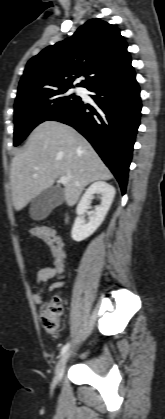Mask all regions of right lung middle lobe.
Listing matches in <instances>:
<instances>
[{
    "label": "right lung middle lobe",
    "mask_w": 165,
    "mask_h": 419,
    "mask_svg": "<svg viewBox=\"0 0 165 419\" xmlns=\"http://www.w3.org/2000/svg\"><path fill=\"white\" fill-rule=\"evenodd\" d=\"M67 88L41 91L15 102L14 146L19 145L38 124L64 112L81 100Z\"/></svg>",
    "instance_id": "right-lung-middle-lobe-1"
}]
</instances>
